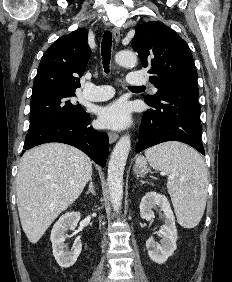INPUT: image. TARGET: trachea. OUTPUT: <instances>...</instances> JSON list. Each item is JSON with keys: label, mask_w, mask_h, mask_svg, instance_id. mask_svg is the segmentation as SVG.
I'll return each mask as SVG.
<instances>
[{"label": "trachea", "mask_w": 232, "mask_h": 282, "mask_svg": "<svg viewBox=\"0 0 232 282\" xmlns=\"http://www.w3.org/2000/svg\"><path fill=\"white\" fill-rule=\"evenodd\" d=\"M111 47H112V33L105 31L101 43V55L103 60L104 71L108 74L110 72L109 65L111 59ZM130 89L144 88L143 86L129 87Z\"/></svg>", "instance_id": "trachea-1"}]
</instances>
